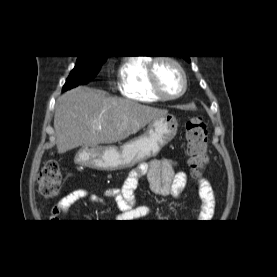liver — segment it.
<instances>
[{"instance_id":"6515ba94","label":"liver","mask_w":277,"mask_h":277,"mask_svg":"<svg viewBox=\"0 0 277 277\" xmlns=\"http://www.w3.org/2000/svg\"><path fill=\"white\" fill-rule=\"evenodd\" d=\"M167 114V110L109 97L100 90L74 88L57 100L54 129L58 153L124 140Z\"/></svg>"}]
</instances>
